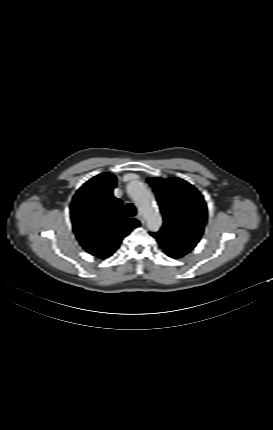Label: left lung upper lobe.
<instances>
[{
    "label": "left lung upper lobe",
    "instance_id": "1",
    "mask_svg": "<svg viewBox=\"0 0 273 430\" xmlns=\"http://www.w3.org/2000/svg\"><path fill=\"white\" fill-rule=\"evenodd\" d=\"M163 215V226L156 238L164 252L180 258L200 241L207 221L203 196L190 183L180 178H149Z\"/></svg>",
    "mask_w": 273,
    "mask_h": 430
}]
</instances>
